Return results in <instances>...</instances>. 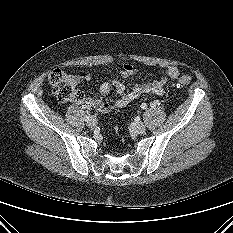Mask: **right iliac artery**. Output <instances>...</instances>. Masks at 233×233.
Listing matches in <instances>:
<instances>
[{"label":"right iliac artery","mask_w":233,"mask_h":233,"mask_svg":"<svg viewBox=\"0 0 233 233\" xmlns=\"http://www.w3.org/2000/svg\"><path fill=\"white\" fill-rule=\"evenodd\" d=\"M90 117H91L90 114H87V115L84 116L83 119H84V121H88L90 119Z\"/></svg>","instance_id":"1"}]
</instances>
